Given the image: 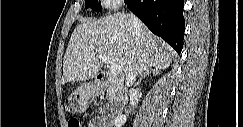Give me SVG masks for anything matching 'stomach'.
<instances>
[{
  "mask_svg": "<svg viewBox=\"0 0 243 127\" xmlns=\"http://www.w3.org/2000/svg\"><path fill=\"white\" fill-rule=\"evenodd\" d=\"M96 93L97 86L95 84H82L68 96V106L74 112L83 113Z\"/></svg>",
  "mask_w": 243,
  "mask_h": 127,
  "instance_id": "0dacf381",
  "label": "stomach"
}]
</instances>
